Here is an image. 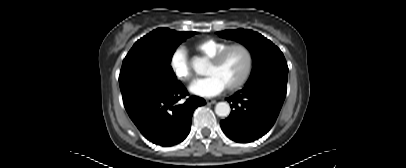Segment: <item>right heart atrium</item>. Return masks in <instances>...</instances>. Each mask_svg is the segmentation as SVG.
I'll list each match as a JSON object with an SVG mask.
<instances>
[{"instance_id": "1", "label": "right heart atrium", "mask_w": 406, "mask_h": 168, "mask_svg": "<svg viewBox=\"0 0 406 168\" xmlns=\"http://www.w3.org/2000/svg\"><path fill=\"white\" fill-rule=\"evenodd\" d=\"M169 65L174 75L181 81L187 82L191 78V68L188 54L183 46L177 47L170 55Z\"/></svg>"}]
</instances>
